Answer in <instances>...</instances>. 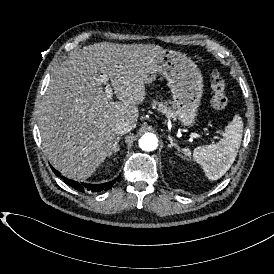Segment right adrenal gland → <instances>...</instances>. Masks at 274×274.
Instances as JSON below:
<instances>
[{"label": "right adrenal gland", "mask_w": 274, "mask_h": 274, "mask_svg": "<svg viewBox=\"0 0 274 274\" xmlns=\"http://www.w3.org/2000/svg\"><path fill=\"white\" fill-rule=\"evenodd\" d=\"M120 139H121L120 137L115 138V144H114V147H113L112 151L110 152L109 156H111L112 153H116L120 150V148L118 146Z\"/></svg>", "instance_id": "obj_1"}]
</instances>
